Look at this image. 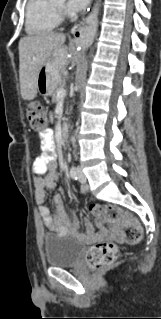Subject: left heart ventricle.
<instances>
[{
    "mask_svg": "<svg viewBox=\"0 0 161 319\" xmlns=\"http://www.w3.org/2000/svg\"><path fill=\"white\" fill-rule=\"evenodd\" d=\"M56 4L63 7L65 2H64V0H59L58 2H56Z\"/></svg>",
    "mask_w": 161,
    "mask_h": 319,
    "instance_id": "b2bd125f",
    "label": "left heart ventricle"
}]
</instances>
